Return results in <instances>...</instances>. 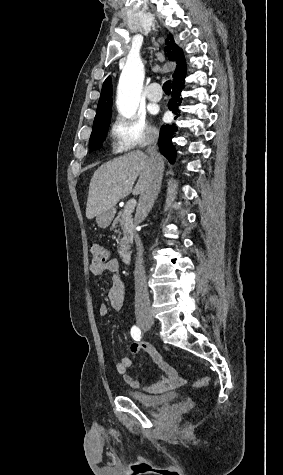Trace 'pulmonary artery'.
Wrapping results in <instances>:
<instances>
[{"label": "pulmonary artery", "instance_id": "pulmonary-artery-1", "mask_svg": "<svg viewBox=\"0 0 283 475\" xmlns=\"http://www.w3.org/2000/svg\"><path fill=\"white\" fill-rule=\"evenodd\" d=\"M151 88L147 89V99L152 101V102H158L161 100V96L163 93V90L161 88V85L157 82H154L150 85ZM119 90H142V89H119Z\"/></svg>", "mask_w": 283, "mask_h": 475}]
</instances>
